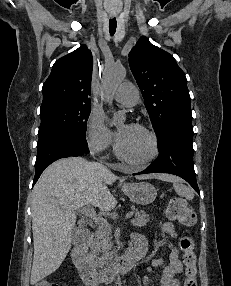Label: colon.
<instances>
[{"label":"colon","instance_id":"1","mask_svg":"<svg viewBox=\"0 0 231 286\" xmlns=\"http://www.w3.org/2000/svg\"><path fill=\"white\" fill-rule=\"evenodd\" d=\"M168 217L178 221L180 224L191 227L196 223V214L192 207L183 198L171 199L168 209ZM181 249L183 251V262L185 265V281L184 286H197L196 274V255L194 239L187 235L181 239ZM35 286H58L54 282L41 280Z\"/></svg>","mask_w":231,"mask_h":286}]
</instances>
